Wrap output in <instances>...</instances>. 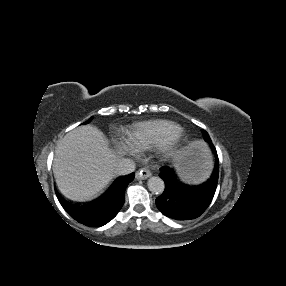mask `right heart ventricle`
Segmentation results:
<instances>
[{
    "mask_svg": "<svg viewBox=\"0 0 286 286\" xmlns=\"http://www.w3.org/2000/svg\"><path fill=\"white\" fill-rule=\"evenodd\" d=\"M181 131L182 127L176 122L148 120L135 124L129 131V138L138 149H146L169 141Z\"/></svg>",
    "mask_w": 286,
    "mask_h": 286,
    "instance_id": "e07e8e85",
    "label": "right heart ventricle"
}]
</instances>
